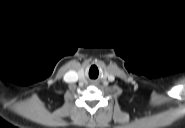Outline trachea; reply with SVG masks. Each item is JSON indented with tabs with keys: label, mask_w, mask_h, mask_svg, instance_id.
Instances as JSON below:
<instances>
[{
	"label": "trachea",
	"mask_w": 185,
	"mask_h": 128,
	"mask_svg": "<svg viewBox=\"0 0 185 128\" xmlns=\"http://www.w3.org/2000/svg\"><path fill=\"white\" fill-rule=\"evenodd\" d=\"M99 75V70L97 68V66L93 65L91 66L90 70H89V77L90 78H97Z\"/></svg>",
	"instance_id": "trachea-1"
}]
</instances>
